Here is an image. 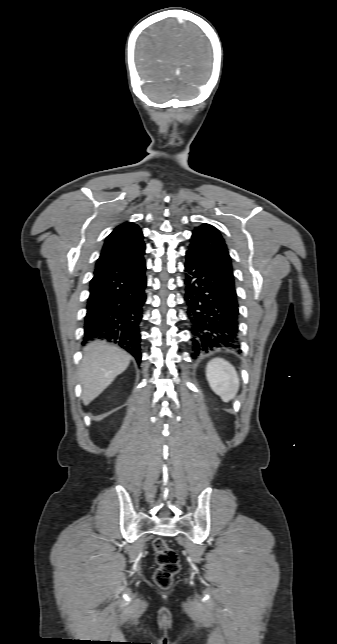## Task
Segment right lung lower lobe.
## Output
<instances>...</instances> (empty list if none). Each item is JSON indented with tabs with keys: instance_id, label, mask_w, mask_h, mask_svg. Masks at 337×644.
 Masks as SVG:
<instances>
[{
	"instance_id": "98d812e1",
	"label": "right lung lower lobe",
	"mask_w": 337,
	"mask_h": 644,
	"mask_svg": "<svg viewBox=\"0 0 337 644\" xmlns=\"http://www.w3.org/2000/svg\"><path fill=\"white\" fill-rule=\"evenodd\" d=\"M146 264L139 260L108 267L94 274L85 317L86 343L93 338L118 344L141 360L140 330Z\"/></svg>"
}]
</instances>
